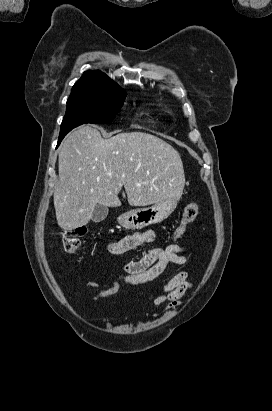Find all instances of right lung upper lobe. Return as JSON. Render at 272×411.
Returning a JSON list of instances; mask_svg holds the SVG:
<instances>
[{
    "label": "right lung upper lobe",
    "instance_id": "right-lung-upper-lobe-1",
    "mask_svg": "<svg viewBox=\"0 0 272 411\" xmlns=\"http://www.w3.org/2000/svg\"><path fill=\"white\" fill-rule=\"evenodd\" d=\"M106 88L121 89L112 79L99 70L86 71L72 88L71 94ZM122 90V89H121ZM124 91V90H123Z\"/></svg>",
    "mask_w": 272,
    "mask_h": 411
}]
</instances>
